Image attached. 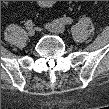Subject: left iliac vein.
Listing matches in <instances>:
<instances>
[{"instance_id": "1", "label": "left iliac vein", "mask_w": 109, "mask_h": 109, "mask_svg": "<svg viewBox=\"0 0 109 109\" xmlns=\"http://www.w3.org/2000/svg\"><path fill=\"white\" fill-rule=\"evenodd\" d=\"M46 29L54 33H63L66 30L65 26L59 23H48Z\"/></svg>"}]
</instances>
